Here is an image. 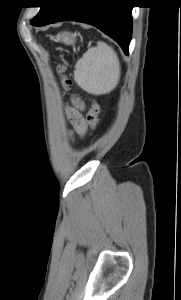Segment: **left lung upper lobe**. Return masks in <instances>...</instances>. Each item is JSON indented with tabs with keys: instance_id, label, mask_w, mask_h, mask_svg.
Segmentation results:
<instances>
[{
	"instance_id": "left-lung-upper-lobe-1",
	"label": "left lung upper lobe",
	"mask_w": 181,
	"mask_h": 300,
	"mask_svg": "<svg viewBox=\"0 0 181 300\" xmlns=\"http://www.w3.org/2000/svg\"><path fill=\"white\" fill-rule=\"evenodd\" d=\"M55 0H45V4L41 7L39 13L31 20V24L37 26L44 16L49 12Z\"/></svg>"
}]
</instances>
